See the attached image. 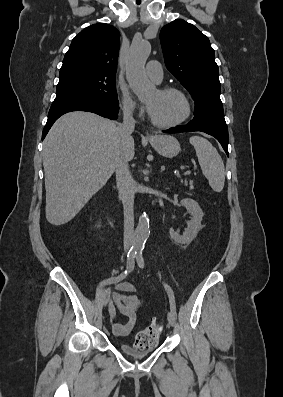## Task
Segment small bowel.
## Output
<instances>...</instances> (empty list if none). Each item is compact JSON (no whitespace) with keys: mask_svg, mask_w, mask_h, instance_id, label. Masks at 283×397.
Masks as SVG:
<instances>
[{"mask_svg":"<svg viewBox=\"0 0 283 397\" xmlns=\"http://www.w3.org/2000/svg\"><path fill=\"white\" fill-rule=\"evenodd\" d=\"M115 289L116 291L109 304V316L113 334L117 337H124L135 326L137 312L145 305V300L136 295L137 288L130 282L118 283ZM117 311L128 318L125 324L116 322Z\"/></svg>","mask_w":283,"mask_h":397,"instance_id":"c3829d8e","label":"small bowel"}]
</instances>
